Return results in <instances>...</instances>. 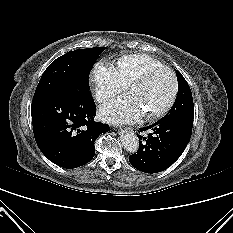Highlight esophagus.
<instances>
[{"label":"esophagus","instance_id":"esophagus-1","mask_svg":"<svg viewBox=\"0 0 233 233\" xmlns=\"http://www.w3.org/2000/svg\"><path fill=\"white\" fill-rule=\"evenodd\" d=\"M128 130H130V131H133L134 129L133 128H127Z\"/></svg>","mask_w":233,"mask_h":233}]
</instances>
